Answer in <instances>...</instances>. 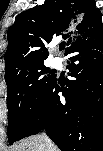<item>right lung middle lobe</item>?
Wrapping results in <instances>:
<instances>
[{"label":"right lung middle lobe","mask_w":103,"mask_h":151,"mask_svg":"<svg viewBox=\"0 0 103 151\" xmlns=\"http://www.w3.org/2000/svg\"><path fill=\"white\" fill-rule=\"evenodd\" d=\"M56 78L43 63L31 65L7 81L8 140H20Z\"/></svg>","instance_id":"1"}]
</instances>
